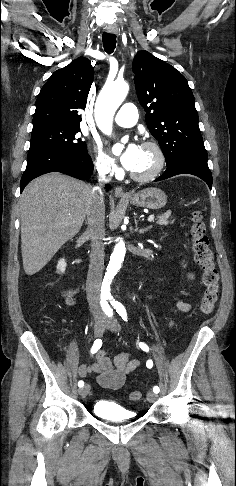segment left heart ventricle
Instances as JSON below:
<instances>
[{"label":"left heart ventricle","mask_w":236,"mask_h":486,"mask_svg":"<svg viewBox=\"0 0 236 486\" xmlns=\"http://www.w3.org/2000/svg\"><path fill=\"white\" fill-rule=\"evenodd\" d=\"M156 163V155L152 149L140 147V153L135 167L131 170L136 174L150 172Z\"/></svg>","instance_id":"1"}]
</instances>
